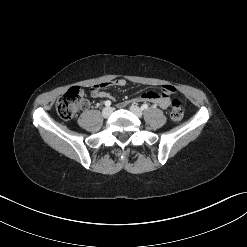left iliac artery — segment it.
Segmentation results:
<instances>
[{
  "label": "left iliac artery",
  "instance_id": "1",
  "mask_svg": "<svg viewBox=\"0 0 247 247\" xmlns=\"http://www.w3.org/2000/svg\"><path fill=\"white\" fill-rule=\"evenodd\" d=\"M141 109H142V110L148 109V105H147V104H143V105L141 106Z\"/></svg>",
  "mask_w": 247,
  "mask_h": 247
}]
</instances>
